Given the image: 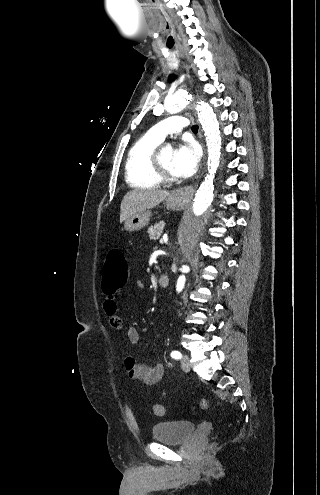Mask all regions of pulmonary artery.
<instances>
[{
  "label": "pulmonary artery",
  "mask_w": 320,
  "mask_h": 495,
  "mask_svg": "<svg viewBox=\"0 0 320 495\" xmlns=\"http://www.w3.org/2000/svg\"><path fill=\"white\" fill-rule=\"evenodd\" d=\"M189 124L188 120L183 117V116H170L156 125H154L150 130L149 133L157 138L158 140L162 141L168 134L176 133L182 131L185 127H187Z\"/></svg>",
  "instance_id": "1"
}]
</instances>
